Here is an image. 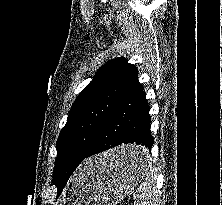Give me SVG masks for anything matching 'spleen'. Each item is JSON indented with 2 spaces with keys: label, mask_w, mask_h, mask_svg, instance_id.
Here are the masks:
<instances>
[{
  "label": "spleen",
  "mask_w": 222,
  "mask_h": 205,
  "mask_svg": "<svg viewBox=\"0 0 222 205\" xmlns=\"http://www.w3.org/2000/svg\"><path fill=\"white\" fill-rule=\"evenodd\" d=\"M157 192L156 175L150 166L145 181L139 185L134 194L135 205H158Z\"/></svg>",
  "instance_id": "3e777b00"
}]
</instances>
